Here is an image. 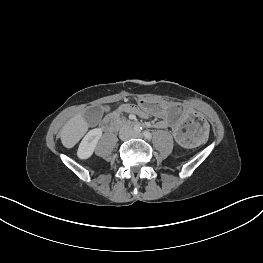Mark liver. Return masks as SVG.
<instances>
[{
  "mask_svg": "<svg viewBox=\"0 0 263 263\" xmlns=\"http://www.w3.org/2000/svg\"><path fill=\"white\" fill-rule=\"evenodd\" d=\"M85 111L76 114L66 122L61 131V142L64 147L72 148L84 136L89 124L84 117Z\"/></svg>",
  "mask_w": 263,
  "mask_h": 263,
  "instance_id": "liver-1",
  "label": "liver"
}]
</instances>
